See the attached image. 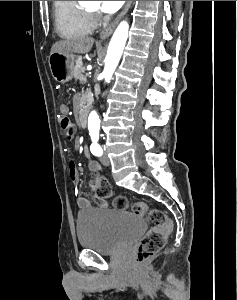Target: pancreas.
<instances>
[{
    "label": "pancreas",
    "mask_w": 237,
    "mask_h": 300,
    "mask_svg": "<svg viewBox=\"0 0 237 300\" xmlns=\"http://www.w3.org/2000/svg\"><path fill=\"white\" fill-rule=\"evenodd\" d=\"M76 63H77V61H76ZM82 73H83V69H79V67H77V65H76V67H74V71H73L74 79H79V77H82L83 76ZM81 83H85V81H81Z\"/></svg>",
    "instance_id": "cf45deb5"
}]
</instances>
